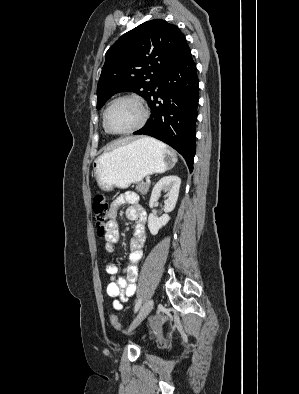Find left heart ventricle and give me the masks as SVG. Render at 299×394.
<instances>
[{"label": "left heart ventricle", "mask_w": 299, "mask_h": 394, "mask_svg": "<svg viewBox=\"0 0 299 394\" xmlns=\"http://www.w3.org/2000/svg\"><path fill=\"white\" fill-rule=\"evenodd\" d=\"M141 117L139 107L132 101L121 100L109 110L107 123L111 130L121 132L135 126Z\"/></svg>", "instance_id": "b2bd125f"}]
</instances>
